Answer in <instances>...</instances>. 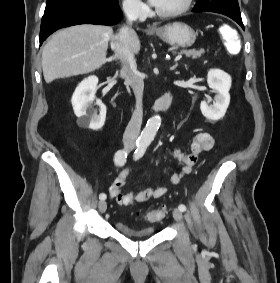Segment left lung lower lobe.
Segmentation results:
<instances>
[{"mask_svg":"<svg viewBox=\"0 0 280 283\" xmlns=\"http://www.w3.org/2000/svg\"><path fill=\"white\" fill-rule=\"evenodd\" d=\"M193 12L197 13V12H204V11H195L193 10ZM232 18L234 21H236L242 28H244L243 26V22H242V19L241 18H238V17H230Z\"/></svg>","mask_w":280,"mask_h":283,"instance_id":"1","label":"left lung lower lobe"}]
</instances>
